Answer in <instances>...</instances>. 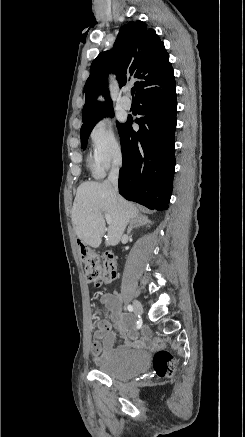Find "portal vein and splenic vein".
<instances>
[{"instance_id": "obj_1", "label": "portal vein and splenic vein", "mask_w": 245, "mask_h": 437, "mask_svg": "<svg viewBox=\"0 0 245 437\" xmlns=\"http://www.w3.org/2000/svg\"><path fill=\"white\" fill-rule=\"evenodd\" d=\"M105 218L108 224H111L112 220L109 214H105Z\"/></svg>"}]
</instances>
